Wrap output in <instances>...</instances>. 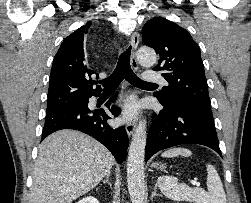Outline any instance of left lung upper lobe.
<instances>
[{"instance_id": "5c2ea615", "label": "left lung upper lobe", "mask_w": 251, "mask_h": 203, "mask_svg": "<svg viewBox=\"0 0 251 203\" xmlns=\"http://www.w3.org/2000/svg\"><path fill=\"white\" fill-rule=\"evenodd\" d=\"M145 45L159 54L155 71L169 83L154 95L166 107L191 103L211 112L208 85L200 49L187 30L165 18H153L143 26Z\"/></svg>"}]
</instances>
